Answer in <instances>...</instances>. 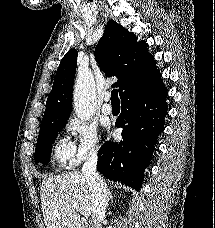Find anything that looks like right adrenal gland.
<instances>
[{"mask_svg":"<svg viewBox=\"0 0 215 228\" xmlns=\"http://www.w3.org/2000/svg\"><path fill=\"white\" fill-rule=\"evenodd\" d=\"M113 200H114V196H112V194H109V196L107 198V208H109V206H111V204H113Z\"/></svg>","mask_w":215,"mask_h":228,"instance_id":"right-adrenal-gland-1","label":"right adrenal gland"}]
</instances>
